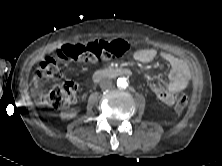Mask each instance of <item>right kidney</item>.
<instances>
[{"instance_id": "obj_1", "label": "right kidney", "mask_w": 222, "mask_h": 166, "mask_svg": "<svg viewBox=\"0 0 222 166\" xmlns=\"http://www.w3.org/2000/svg\"><path fill=\"white\" fill-rule=\"evenodd\" d=\"M78 110L72 109L70 112H62L60 116L65 119L74 118L77 116Z\"/></svg>"}]
</instances>
